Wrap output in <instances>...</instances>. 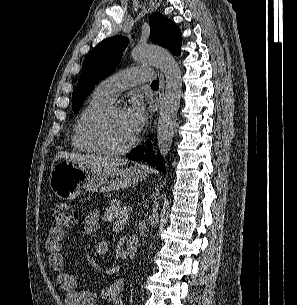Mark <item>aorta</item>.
Segmentation results:
<instances>
[{
	"instance_id": "obj_1",
	"label": "aorta",
	"mask_w": 297,
	"mask_h": 305,
	"mask_svg": "<svg viewBox=\"0 0 297 305\" xmlns=\"http://www.w3.org/2000/svg\"><path fill=\"white\" fill-rule=\"evenodd\" d=\"M131 55L138 62L156 65L165 75V93L157 124V143L160 154L166 159L170 152L177 112L180 106L181 69L173 56L159 47L137 45L133 48ZM158 209L159 202H156L152 214L149 216V223L152 228L158 220Z\"/></svg>"
}]
</instances>
